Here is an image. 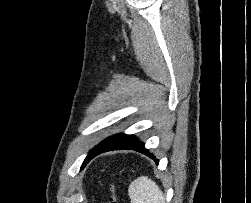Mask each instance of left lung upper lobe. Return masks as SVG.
<instances>
[{"label": "left lung upper lobe", "mask_w": 251, "mask_h": 203, "mask_svg": "<svg viewBox=\"0 0 251 203\" xmlns=\"http://www.w3.org/2000/svg\"><path fill=\"white\" fill-rule=\"evenodd\" d=\"M115 136H116V135H114V136H112V137H109V138L103 140L101 143H99L97 146H95V147L91 150L90 154L93 153L99 146H101V145H103V144L109 142V141H110L113 137H115ZM90 154H89V155H90ZM89 155H88V156H89ZM88 156H87V157H88ZM87 157L85 158V160L87 159ZM84 162H85V161H84Z\"/></svg>", "instance_id": "5c2ea615"}]
</instances>
